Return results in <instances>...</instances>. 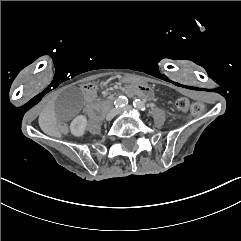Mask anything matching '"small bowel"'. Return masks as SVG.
<instances>
[{"label":"small bowel","instance_id":"obj_1","mask_svg":"<svg viewBox=\"0 0 241 241\" xmlns=\"http://www.w3.org/2000/svg\"><path fill=\"white\" fill-rule=\"evenodd\" d=\"M82 92L86 101L87 112L90 114L91 110L96 105L95 101L97 99V86L91 83L84 84L82 86Z\"/></svg>","mask_w":241,"mask_h":241}]
</instances>
